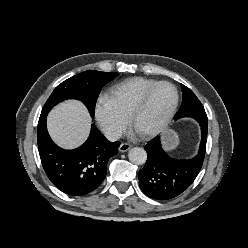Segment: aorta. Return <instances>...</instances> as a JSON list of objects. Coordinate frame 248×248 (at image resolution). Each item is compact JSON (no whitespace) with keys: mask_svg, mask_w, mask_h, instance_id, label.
I'll list each match as a JSON object with an SVG mask.
<instances>
[{"mask_svg":"<svg viewBox=\"0 0 248 248\" xmlns=\"http://www.w3.org/2000/svg\"><path fill=\"white\" fill-rule=\"evenodd\" d=\"M128 158L133 164L142 165L147 160V153L143 148L134 147L129 150Z\"/></svg>","mask_w":248,"mask_h":248,"instance_id":"aorta-1","label":"aorta"}]
</instances>
